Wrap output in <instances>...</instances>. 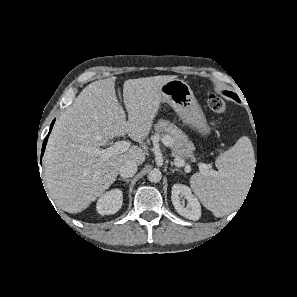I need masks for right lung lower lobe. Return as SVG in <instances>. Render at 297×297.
<instances>
[{
  "label": "right lung lower lobe",
  "instance_id": "1",
  "mask_svg": "<svg viewBox=\"0 0 297 297\" xmlns=\"http://www.w3.org/2000/svg\"><path fill=\"white\" fill-rule=\"evenodd\" d=\"M55 120L51 123V126H50V131L48 133V135L46 136V138L44 139V142H43V145H42V152H41V156H43L44 154V150H45V147H46V143H47V139H48V136L52 130V127H53V124H54Z\"/></svg>",
  "mask_w": 297,
  "mask_h": 297
}]
</instances>
